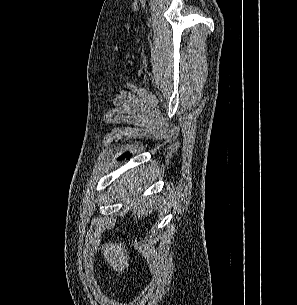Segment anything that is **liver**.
I'll return each mask as SVG.
<instances>
[{"instance_id":"1","label":"liver","mask_w":297,"mask_h":305,"mask_svg":"<svg viewBox=\"0 0 297 305\" xmlns=\"http://www.w3.org/2000/svg\"><path fill=\"white\" fill-rule=\"evenodd\" d=\"M147 173V168L143 170H138V172L130 171L126 173V176L124 178L121 179V184L128 188H138L142 177L145 176V174L147 175ZM137 194H134V196ZM127 200L130 202V206L133 207L132 215H134V219L136 218V216L138 217V219H140L141 217L145 218V216H148L152 213L153 208L151 200L141 199L140 201L136 202L132 200V195L130 192L127 194ZM102 252L105 260L109 263V265L113 268L114 271L122 273L125 269H128L129 255L127 250L125 249L124 243H105L102 246Z\"/></svg>"}]
</instances>
